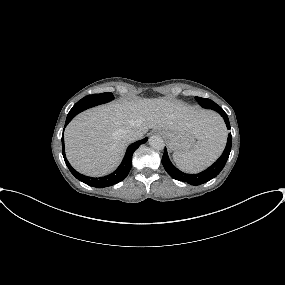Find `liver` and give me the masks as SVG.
<instances>
[{
	"label": "liver",
	"mask_w": 285,
	"mask_h": 285,
	"mask_svg": "<svg viewBox=\"0 0 285 285\" xmlns=\"http://www.w3.org/2000/svg\"><path fill=\"white\" fill-rule=\"evenodd\" d=\"M222 123L214 112L180 102L158 98L120 100L77 115L65 129V150L77 171L103 176L120 164L129 143L124 133L129 130L142 135L149 129L189 132L204 140Z\"/></svg>",
	"instance_id": "1"
}]
</instances>
